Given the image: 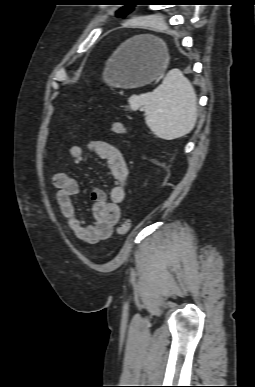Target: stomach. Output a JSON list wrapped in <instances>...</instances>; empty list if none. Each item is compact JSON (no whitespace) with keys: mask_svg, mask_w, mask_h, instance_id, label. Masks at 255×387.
<instances>
[{"mask_svg":"<svg viewBox=\"0 0 255 387\" xmlns=\"http://www.w3.org/2000/svg\"><path fill=\"white\" fill-rule=\"evenodd\" d=\"M168 63V51L161 40L134 37L123 43L111 57L103 80L112 87L143 86L162 75Z\"/></svg>","mask_w":255,"mask_h":387,"instance_id":"0dacf381","label":"stomach"}]
</instances>
